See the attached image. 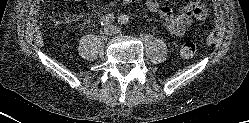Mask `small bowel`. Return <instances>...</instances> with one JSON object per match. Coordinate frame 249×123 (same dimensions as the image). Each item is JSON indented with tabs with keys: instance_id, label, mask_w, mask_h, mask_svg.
<instances>
[{
	"instance_id": "obj_1",
	"label": "small bowel",
	"mask_w": 249,
	"mask_h": 123,
	"mask_svg": "<svg viewBox=\"0 0 249 123\" xmlns=\"http://www.w3.org/2000/svg\"><path fill=\"white\" fill-rule=\"evenodd\" d=\"M135 2H144L151 12L157 13L166 29L175 36L183 35L193 21L204 20L208 15L207 5L202 0H190L178 12H174L169 6L161 5L158 0H122L124 5Z\"/></svg>"
}]
</instances>
